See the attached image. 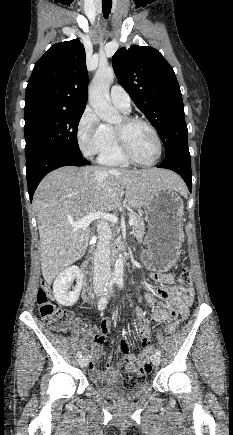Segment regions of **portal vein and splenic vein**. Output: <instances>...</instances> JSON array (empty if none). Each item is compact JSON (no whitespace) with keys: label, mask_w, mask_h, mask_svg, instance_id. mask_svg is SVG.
<instances>
[{"label":"portal vein and splenic vein","mask_w":233,"mask_h":435,"mask_svg":"<svg viewBox=\"0 0 233 435\" xmlns=\"http://www.w3.org/2000/svg\"><path fill=\"white\" fill-rule=\"evenodd\" d=\"M100 218L108 220V221H110L112 223H117L118 222L117 216H115L113 214H107V213L102 214L101 212L97 211V212H93V213L85 216L84 218H82L78 222L70 221V225H72L75 229L86 230L91 222H93L96 219H100ZM134 223L135 222H134L133 219L129 220V225L130 226H133Z\"/></svg>","instance_id":"obj_1"}]
</instances>
